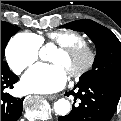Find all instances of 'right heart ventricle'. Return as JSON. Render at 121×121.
<instances>
[{"label":"right heart ventricle","instance_id":"right-heart-ventricle-1","mask_svg":"<svg viewBox=\"0 0 121 121\" xmlns=\"http://www.w3.org/2000/svg\"><path fill=\"white\" fill-rule=\"evenodd\" d=\"M30 35L34 36L40 42L41 45H46L49 43H55L59 46L84 44V41L81 36L70 32L54 31L48 33L46 37L32 33H30Z\"/></svg>","mask_w":121,"mask_h":121}]
</instances>
